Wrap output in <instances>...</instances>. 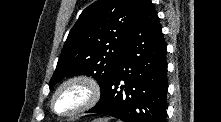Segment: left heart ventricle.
Wrapping results in <instances>:
<instances>
[{"label":"left heart ventricle","mask_w":221,"mask_h":122,"mask_svg":"<svg viewBox=\"0 0 221 122\" xmlns=\"http://www.w3.org/2000/svg\"><path fill=\"white\" fill-rule=\"evenodd\" d=\"M86 92L80 86L64 89L56 98L55 108L59 112H69L78 108L85 100Z\"/></svg>","instance_id":"b2bd125f"}]
</instances>
